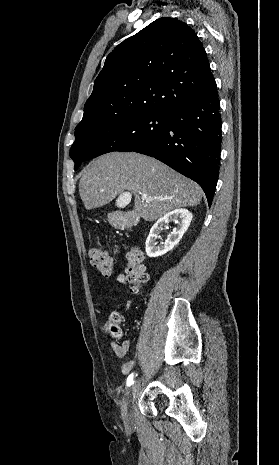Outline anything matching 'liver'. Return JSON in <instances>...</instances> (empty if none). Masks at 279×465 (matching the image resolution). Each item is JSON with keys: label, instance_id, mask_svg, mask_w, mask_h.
I'll return each mask as SVG.
<instances>
[{"label": "liver", "instance_id": "liver-1", "mask_svg": "<svg viewBox=\"0 0 279 465\" xmlns=\"http://www.w3.org/2000/svg\"><path fill=\"white\" fill-rule=\"evenodd\" d=\"M134 195V212L145 221H155L172 210L197 206L202 189L194 181L164 163L135 152H112L91 161L79 182L81 200L87 210L102 207L123 193ZM164 200H142L141 195Z\"/></svg>", "mask_w": 279, "mask_h": 465}]
</instances>
